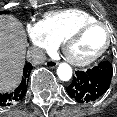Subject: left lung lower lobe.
Wrapping results in <instances>:
<instances>
[{"instance_id": "obj_1", "label": "left lung lower lobe", "mask_w": 117, "mask_h": 117, "mask_svg": "<svg viewBox=\"0 0 117 117\" xmlns=\"http://www.w3.org/2000/svg\"><path fill=\"white\" fill-rule=\"evenodd\" d=\"M112 75V64L101 62L87 71H77L66 91L79 103L96 101L108 90Z\"/></svg>"}]
</instances>
